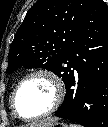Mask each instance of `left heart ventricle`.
<instances>
[{"label":"left heart ventricle","mask_w":108,"mask_h":127,"mask_svg":"<svg viewBox=\"0 0 108 127\" xmlns=\"http://www.w3.org/2000/svg\"><path fill=\"white\" fill-rule=\"evenodd\" d=\"M54 99L52 84L44 77L28 80L16 96L18 112L25 117L39 115L50 108Z\"/></svg>","instance_id":"obj_1"}]
</instances>
